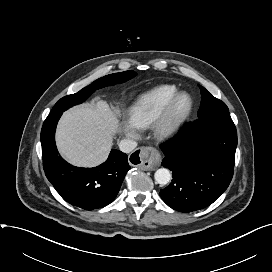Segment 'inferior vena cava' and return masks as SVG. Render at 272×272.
<instances>
[{
	"mask_svg": "<svg viewBox=\"0 0 272 272\" xmlns=\"http://www.w3.org/2000/svg\"><path fill=\"white\" fill-rule=\"evenodd\" d=\"M137 147V142L130 139H123L119 143V149L124 153H130Z\"/></svg>",
	"mask_w": 272,
	"mask_h": 272,
	"instance_id": "inferior-vena-cava-1",
	"label": "inferior vena cava"
}]
</instances>
